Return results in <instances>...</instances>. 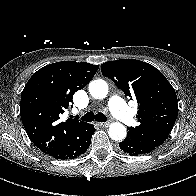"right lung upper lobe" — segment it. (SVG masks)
Here are the masks:
<instances>
[{
	"label": "right lung upper lobe",
	"instance_id": "obj_1",
	"mask_svg": "<svg viewBox=\"0 0 196 196\" xmlns=\"http://www.w3.org/2000/svg\"><path fill=\"white\" fill-rule=\"evenodd\" d=\"M98 65L74 61L49 64L27 82L21 95L20 115L28 137L43 153L63 146L88 123L77 119L61 122L73 94L93 78Z\"/></svg>",
	"mask_w": 196,
	"mask_h": 196
}]
</instances>
